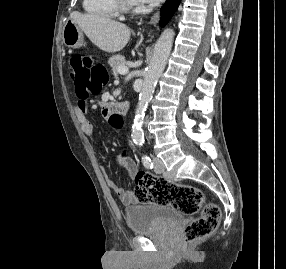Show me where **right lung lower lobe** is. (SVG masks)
<instances>
[{"instance_id":"98d812e1","label":"right lung lower lobe","mask_w":286,"mask_h":269,"mask_svg":"<svg viewBox=\"0 0 286 269\" xmlns=\"http://www.w3.org/2000/svg\"><path fill=\"white\" fill-rule=\"evenodd\" d=\"M181 0H168V2L163 6L161 9L162 11V18H161V24L165 25L169 19L172 17L174 12L179 6Z\"/></svg>"}]
</instances>
